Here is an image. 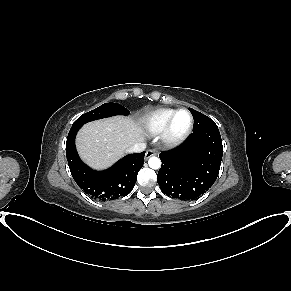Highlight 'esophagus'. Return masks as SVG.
Here are the masks:
<instances>
[{
    "label": "esophagus",
    "instance_id": "1",
    "mask_svg": "<svg viewBox=\"0 0 291 291\" xmlns=\"http://www.w3.org/2000/svg\"><path fill=\"white\" fill-rule=\"evenodd\" d=\"M154 155H156L155 150L149 149V150H147L146 153H145V158H146V159H149L151 156H154Z\"/></svg>",
    "mask_w": 291,
    "mask_h": 291
}]
</instances>
